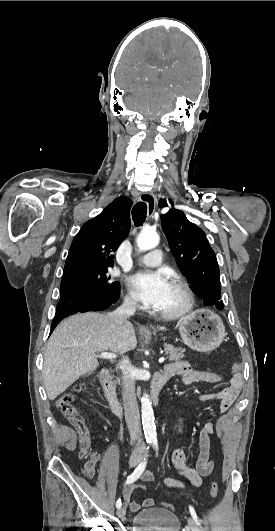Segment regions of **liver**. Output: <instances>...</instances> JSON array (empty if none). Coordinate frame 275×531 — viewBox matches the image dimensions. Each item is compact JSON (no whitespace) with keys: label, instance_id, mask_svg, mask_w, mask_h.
I'll return each instance as SVG.
<instances>
[{"label":"liver","instance_id":"1","mask_svg":"<svg viewBox=\"0 0 275 531\" xmlns=\"http://www.w3.org/2000/svg\"><path fill=\"white\" fill-rule=\"evenodd\" d=\"M137 347L135 329L129 321L122 325L101 313H78L56 327L45 353L43 379L48 399L71 387L81 375L95 371L96 353L133 351Z\"/></svg>","mask_w":275,"mask_h":531}]
</instances>
